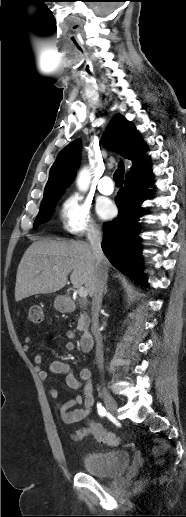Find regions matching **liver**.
I'll use <instances>...</instances> for the list:
<instances>
[{
  "label": "liver",
  "instance_id": "liver-1",
  "mask_svg": "<svg viewBox=\"0 0 186 517\" xmlns=\"http://www.w3.org/2000/svg\"><path fill=\"white\" fill-rule=\"evenodd\" d=\"M106 270L109 262L105 258ZM96 260L90 244L83 241L39 240L25 251L16 275L17 302L36 294L62 289L70 275L73 286H85L93 296Z\"/></svg>",
  "mask_w": 186,
  "mask_h": 517
}]
</instances>
